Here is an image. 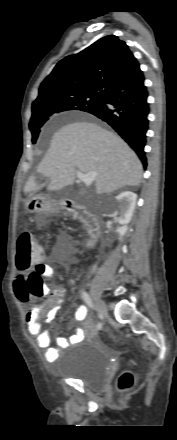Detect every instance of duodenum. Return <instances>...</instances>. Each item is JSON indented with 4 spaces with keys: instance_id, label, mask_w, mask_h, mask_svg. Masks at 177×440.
Here are the masks:
<instances>
[{
    "instance_id": "duodenum-1",
    "label": "duodenum",
    "mask_w": 177,
    "mask_h": 440,
    "mask_svg": "<svg viewBox=\"0 0 177 440\" xmlns=\"http://www.w3.org/2000/svg\"><path fill=\"white\" fill-rule=\"evenodd\" d=\"M63 209L83 221L91 240L98 237L100 232L99 221L86 206L72 200H66Z\"/></svg>"
}]
</instances>
